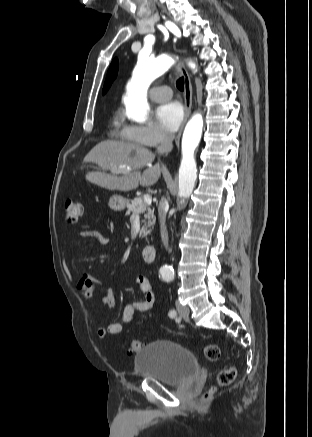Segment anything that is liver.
Returning <instances> with one entry per match:
<instances>
[{"label":"liver","instance_id":"1","mask_svg":"<svg viewBox=\"0 0 312 437\" xmlns=\"http://www.w3.org/2000/svg\"><path fill=\"white\" fill-rule=\"evenodd\" d=\"M154 158L155 154L144 146L129 142L103 141L87 154L84 161L95 163L103 170H110L112 175L92 171L86 174V179L108 190L130 191L139 184L148 187L155 184L161 176L160 163L152 165Z\"/></svg>","mask_w":312,"mask_h":437}]
</instances>
